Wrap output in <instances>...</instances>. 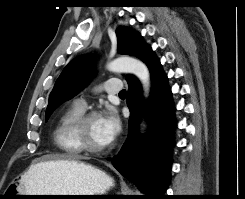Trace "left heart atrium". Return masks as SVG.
<instances>
[{"mask_svg":"<svg viewBox=\"0 0 245 199\" xmlns=\"http://www.w3.org/2000/svg\"><path fill=\"white\" fill-rule=\"evenodd\" d=\"M100 123L105 141L108 145L113 142L121 131V122L118 115L109 110L100 116Z\"/></svg>","mask_w":245,"mask_h":199,"instance_id":"left-heart-atrium-1","label":"left heart atrium"}]
</instances>
